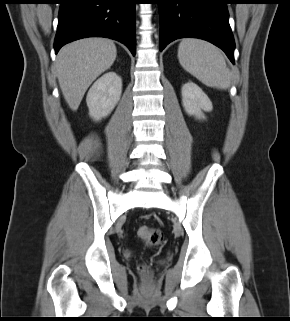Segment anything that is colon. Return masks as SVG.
<instances>
[{"label":"colon","mask_w":290,"mask_h":321,"mask_svg":"<svg viewBox=\"0 0 290 321\" xmlns=\"http://www.w3.org/2000/svg\"><path fill=\"white\" fill-rule=\"evenodd\" d=\"M138 236L149 246H158L163 241V233L160 229L146 225L139 227ZM139 272L145 279L151 274L150 268L147 265H141Z\"/></svg>","instance_id":"1"}]
</instances>
